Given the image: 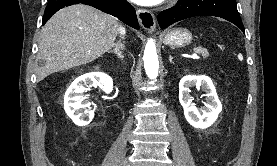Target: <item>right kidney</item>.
Returning a JSON list of instances; mask_svg holds the SVG:
<instances>
[{"label": "right kidney", "mask_w": 277, "mask_h": 166, "mask_svg": "<svg viewBox=\"0 0 277 166\" xmlns=\"http://www.w3.org/2000/svg\"><path fill=\"white\" fill-rule=\"evenodd\" d=\"M91 85H98L104 92L109 94L113 88V81L108 75L100 72L88 73L75 79L64 96L65 112L78 126L89 124L94 117L93 110H86L84 112L82 110L89 107V104L83 102L85 99L83 93Z\"/></svg>", "instance_id": "1"}]
</instances>
